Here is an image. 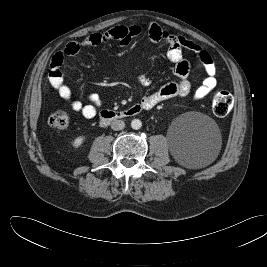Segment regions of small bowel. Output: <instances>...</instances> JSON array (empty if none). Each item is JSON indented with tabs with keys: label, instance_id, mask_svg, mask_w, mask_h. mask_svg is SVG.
Returning <instances> with one entry per match:
<instances>
[{
	"label": "small bowel",
	"instance_id": "obj_1",
	"mask_svg": "<svg viewBox=\"0 0 267 267\" xmlns=\"http://www.w3.org/2000/svg\"><path fill=\"white\" fill-rule=\"evenodd\" d=\"M146 34L153 43H164L167 45V59L173 65L175 81H171L158 91L146 95L140 104L145 110L157 106L163 101L175 97H185L191 91L189 80L190 63L186 54L193 53L204 68L206 77L194 93V100H203L217 86L216 66L211 56L198 44L193 41L175 36L170 32L161 29L157 24L151 22L145 25H119L104 33H94L80 42H70L65 48L57 52L51 60L48 79L50 85L57 91L58 95L70 105V108L81 114L86 119L96 117L101 106L98 94L87 95L89 103L85 104L80 100L73 99L71 88L65 83L61 67L68 57L78 53L82 48L101 45L109 41H116L121 45L127 44L132 38ZM139 82L143 86L151 85V80L142 75Z\"/></svg>",
	"mask_w": 267,
	"mask_h": 267
}]
</instances>
